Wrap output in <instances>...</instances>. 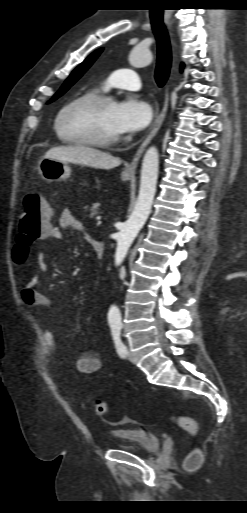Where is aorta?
<instances>
[{
    "label": "aorta",
    "instance_id": "aorta-1",
    "mask_svg": "<svg viewBox=\"0 0 247 513\" xmlns=\"http://www.w3.org/2000/svg\"><path fill=\"white\" fill-rule=\"evenodd\" d=\"M152 55L148 48L143 45L134 47L129 55V62L134 67H144L151 63ZM159 169V154L156 147H150L142 161L139 195L134 210L119 232L117 239V248L115 254V263L119 265L127 255V252L137 236L140 229L145 224L152 208ZM109 320L120 321L121 314L116 306H112L109 314Z\"/></svg>",
    "mask_w": 247,
    "mask_h": 513
}]
</instances>
